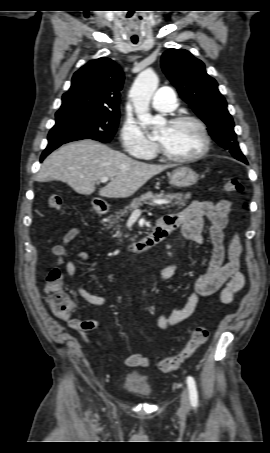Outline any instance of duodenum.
Here are the masks:
<instances>
[{
  "label": "duodenum",
  "mask_w": 270,
  "mask_h": 453,
  "mask_svg": "<svg viewBox=\"0 0 270 453\" xmlns=\"http://www.w3.org/2000/svg\"><path fill=\"white\" fill-rule=\"evenodd\" d=\"M107 212L108 208L105 206L96 208L97 214H106ZM173 231L174 228L168 226L164 221H160L151 233L144 239L132 244L129 249L134 253L145 252L164 241Z\"/></svg>",
  "instance_id": "1"
}]
</instances>
